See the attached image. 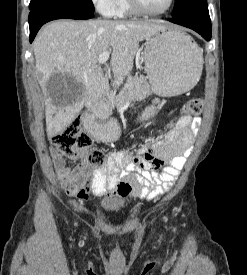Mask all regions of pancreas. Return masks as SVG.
<instances>
[{
	"mask_svg": "<svg viewBox=\"0 0 247 275\" xmlns=\"http://www.w3.org/2000/svg\"><path fill=\"white\" fill-rule=\"evenodd\" d=\"M151 94L150 86L144 76L129 78L120 93L113 98L117 106H124L128 101L141 100Z\"/></svg>",
	"mask_w": 247,
	"mask_h": 275,
	"instance_id": "1",
	"label": "pancreas"
}]
</instances>
